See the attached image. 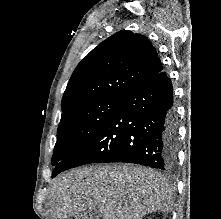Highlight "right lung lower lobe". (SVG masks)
Instances as JSON below:
<instances>
[{
	"instance_id": "1",
	"label": "right lung lower lobe",
	"mask_w": 221,
	"mask_h": 219,
	"mask_svg": "<svg viewBox=\"0 0 221 219\" xmlns=\"http://www.w3.org/2000/svg\"><path fill=\"white\" fill-rule=\"evenodd\" d=\"M177 143L172 83L161 71L128 92L98 132L56 165L52 177L99 162H129L167 171L175 166Z\"/></svg>"
}]
</instances>
